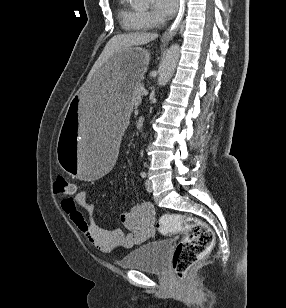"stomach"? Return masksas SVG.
<instances>
[{"label": "stomach", "mask_w": 286, "mask_h": 308, "mask_svg": "<svg viewBox=\"0 0 286 308\" xmlns=\"http://www.w3.org/2000/svg\"><path fill=\"white\" fill-rule=\"evenodd\" d=\"M149 60L147 50L131 44L101 60V67L69 100L57 161L77 182H100L114 167L120 125H128L132 92Z\"/></svg>", "instance_id": "0dacf381"}]
</instances>
